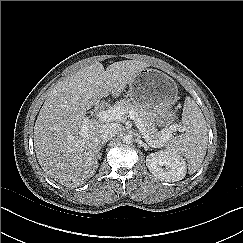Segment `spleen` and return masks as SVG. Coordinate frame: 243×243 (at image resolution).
Returning a JSON list of instances; mask_svg holds the SVG:
<instances>
[{
    "label": "spleen",
    "instance_id": "spleen-1",
    "mask_svg": "<svg viewBox=\"0 0 243 243\" xmlns=\"http://www.w3.org/2000/svg\"><path fill=\"white\" fill-rule=\"evenodd\" d=\"M182 124L185 133L172 139L166 151L184 156L188 161L189 173L193 174L200 168L206 155L208 128L201 109L190 97L185 99Z\"/></svg>",
    "mask_w": 243,
    "mask_h": 243
}]
</instances>
